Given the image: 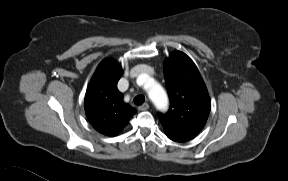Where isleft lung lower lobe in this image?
<instances>
[{
    "label": "left lung lower lobe",
    "instance_id": "obj_1",
    "mask_svg": "<svg viewBox=\"0 0 288 181\" xmlns=\"http://www.w3.org/2000/svg\"><path fill=\"white\" fill-rule=\"evenodd\" d=\"M190 139H179V140H173V141H177V142H185V141H188Z\"/></svg>",
    "mask_w": 288,
    "mask_h": 181
}]
</instances>
